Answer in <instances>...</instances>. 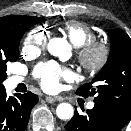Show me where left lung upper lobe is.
Returning a JSON list of instances; mask_svg holds the SVG:
<instances>
[{"label":"left lung upper lobe","mask_w":131,"mask_h":131,"mask_svg":"<svg viewBox=\"0 0 131 131\" xmlns=\"http://www.w3.org/2000/svg\"><path fill=\"white\" fill-rule=\"evenodd\" d=\"M111 49L107 63L91 83L77 90V95L93 96L123 122L131 118V39L122 30H110ZM96 83V88L92 84Z\"/></svg>","instance_id":"5c2ea615"}]
</instances>
